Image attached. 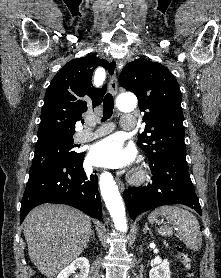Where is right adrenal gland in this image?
<instances>
[{"instance_id": "obj_1", "label": "right adrenal gland", "mask_w": 221, "mask_h": 278, "mask_svg": "<svg viewBox=\"0 0 221 278\" xmlns=\"http://www.w3.org/2000/svg\"><path fill=\"white\" fill-rule=\"evenodd\" d=\"M91 235L94 236V231H92Z\"/></svg>"}]
</instances>
